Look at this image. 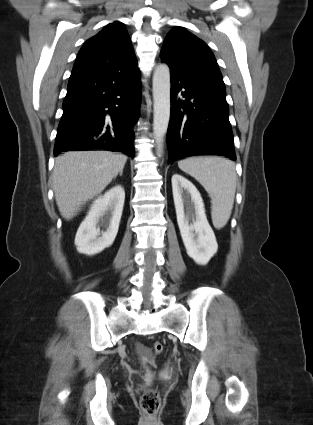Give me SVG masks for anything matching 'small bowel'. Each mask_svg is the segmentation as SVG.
Returning <instances> with one entry per match:
<instances>
[{
	"mask_svg": "<svg viewBox=\"0 0 313 425\" xmlns=\"http://www.w3.org/2000/svg\"><path fill=\"white\" fill-rule=\"evenodd\" d=\"M139 348L143 349V347H142V346H139Z\"/></svg>",
	"mask_w": 313,
	"mask_h": 425,
	"instance_id": "c3829d8e",
	"label": "small bowel"
}]
</instances>
